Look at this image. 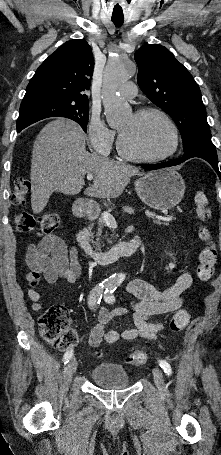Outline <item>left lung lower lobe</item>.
Wrapping results in <instances>:
<instances>
[{
	"instance_id": "left-lung-lower-lobe-1",
	"label": "left lung lower lobe",
	"mask_w": 221,
	"mask_h": 455,
	"mask_svg": "<svg viewBox=\"0 0 221 455\" xmlns=\"http://www.w3.org/2000/svg\"><path fill=\"white\" fill-rule=\"evenodd\" d=\"M192 157H199L209 162L211 166L214 168V170L217 172L219 178L221 177L218 167V157L215 146L195 145L188 151H186L184 156L181 158L158 164L143 165L142 168L147 170H155L164 167L175 166Z\"/></svg>"
}]
</instances>
